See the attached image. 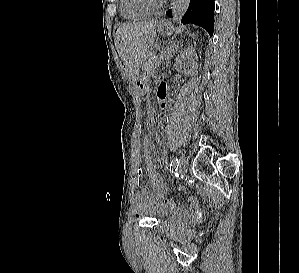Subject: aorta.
Masks as SVG:
<instances>
[{
  "label": "aorta",
  "instance_id": "762f6f07",
  "mask_svg": "<svg viewBox=\"0 0 299 273\" xmlns=\"http://www.w3.org/2000/svg\"><path fill=\"white\" fill-rule=\"evenodd\" d=\"M190 4V0H175L172 3V16L174 22H179L182 16L187 11Z\"/></svg>",
  "mask_w": 299,
  "mask_h": 273
}]
</instances>
